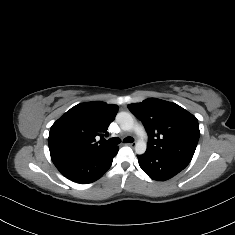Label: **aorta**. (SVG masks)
<instances>
[{"label": "aorta", "mask_w": 235, "mask_h": 235, "mask_svg": "<svg viewBox=\"0 0 235 235\" xmlns=\"http://www.w3.org/2000/svg\"><path fill=\"white\" fill-rule=\"evenodd\" d=\"M116 122L120 125L121 129L124 131H130L134 128V119L132 115L128 112H119L116 115ZM147 145L144 140H139L135 144V152L137 154H144Z\"/></svg>", "instance_id": "obj_1"}]
</instances>
